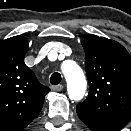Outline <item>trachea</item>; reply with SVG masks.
I'll list each match as a JSON object with an SVG mask.
<instances>
[{
	"label": "trachea",
	"mask_w": 131,
	"mask_h": 131,
	"mask_svg": "<svg viewBox=\"0 0 131 131\" xmlns=\"http://www.w3.org/2000/svg\"><path fill=\"white\" fill-rule=\"evenodd\" d=\"M61 82V75L58 72H55L50 77V83L53 85H57Z\"/></svg>",
	"instance_id": "3493384b"
}]
</instances>
